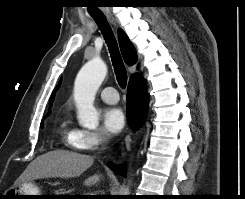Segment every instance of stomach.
<instances>
[{
	"mask_svg": "<svg viewBox=\"0 0 245 199\" xmlns=\"http://www.w3.org/2000/svg\"><path fill=\"white\" fill-rule=\"evenodd\" d=\"M9 194L13 199H38L39 196H16V195H42L37 186L32 183H22L17 188L10 189Z\"/></svg>",
	"mask_w": 245,
	"mask_h": 199,
	"instance_id": "0dacf381",
	"label": "stomach"
}]
</instances>
